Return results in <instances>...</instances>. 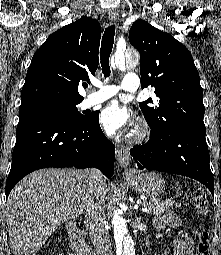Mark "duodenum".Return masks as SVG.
Returning <instances> with one entry per match:
<instances>
[{
    "label": "duodenum",
    "mask_w": 221,
    "mask_h": 255,
    "mask_svg": "<svg viewBox=\"0 0 221 255\" xmlns=\"http://www.w3.org/2000/svg\"><path fill=\"white\" fill-rule=\"evenodd\" d=\"M68 235L70 246L77 253V255H94L93 251L85 243L82 232L76 223L69 224Z\"/></svg>",
    "instance_id": "obj_1"
}]
</instances>
